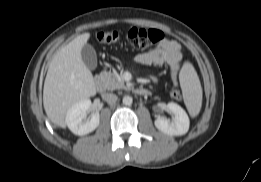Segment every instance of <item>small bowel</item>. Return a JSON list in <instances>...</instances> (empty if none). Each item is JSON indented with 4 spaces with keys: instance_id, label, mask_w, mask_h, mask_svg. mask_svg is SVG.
Returning <instances> with one entry per match:
<instances>
[{
    "instance_id": "small-bowel-1",
    "label": "small bowel",
    "mask_w": 261,
    "mask_h": 182,
    "mask_svg": "<svg viewBox=\"0 0 261 182\" xmlns=\"http://www.w3.org/2000/svg\"><path fill=\"white\" fill-rule=\"evenodd\" d=\"M135 60L141 65H167L172 82L178 83V74L183 58L181 45L177 41L164 39L156 47L137 54Z\"/></svg>"
}]
</instances>
